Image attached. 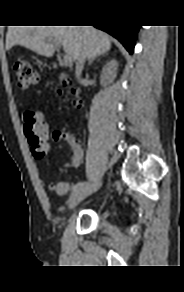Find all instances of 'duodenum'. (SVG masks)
I'll return each mask as SVG.
<instances>
[{
	"label": "duodenum",
	"mask_w": 184,
	"mask_h": 292,
	"mask_svg": "<svg viewBox=\"0 0 184 292\" xmlns=\"http://www.w3.org/2000/svg\"><path fill=\"white\" fill-rule=\"evenodd\" d=\"M53 67H54V68H57L58 66H57L56 63H54V64H53ZM61 77H62V79H66V76H65L63 73L61 74Z\"/></svg>",
	"instance_id": "410a0bca"
}]
</instances>
